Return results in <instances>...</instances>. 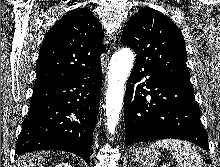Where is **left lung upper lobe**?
Returning <instances> with one entry per match:
<instances>
[{
	"label": "left lung upper lobe",
	"mask_w": 220,
	"mask_h": 167,
	"mask_svg": "<svg viewBox=\"0 0 220 167\" xmlns=\"http://www.w3.org/2000/svg\"><path fill=\"white\" fill-rule=\"evenodd\" d=\"M121 41L136 53V64L166 75L189 78L183 35L161 12L140 9L123 30Z\"/></svg>",
	"instance_id": "1"
}]
</instances>
